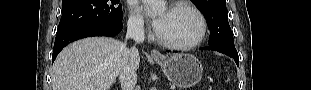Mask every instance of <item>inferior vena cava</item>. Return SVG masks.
<instances>
[{
	"mask_svg": "<svg viewBox=\"0 0 311 90\" xmlns=\"http://www.w3.org/2000/svg\"><path fill=\"white\" fill-rule=\"evenodd\" d=\"M128 39H133L137 43H142L144 41L142 24L133 22L127 25L126 40ZM136 56V49L133 46L128 48L124 54V59L127 60V65H125L121 77L123 78L124 83L129 87H133L137 83L138 61Z\"/></svg>",
	"mask_w": 311,
	"mask_h": 90,
	"instance_id": "602c4592",
	"label": "inferior vena cava"
}]
</instances>
